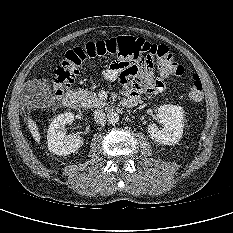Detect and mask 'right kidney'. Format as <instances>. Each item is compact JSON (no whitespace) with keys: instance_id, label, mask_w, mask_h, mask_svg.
Segmentation results:
<instances>
[{"instance_id":"obj_1","label":"right kidney","mask_w":233,"mask_h":233,"mask_svg":"<svg viewBox=\"0 0 233 233\" xmlns=\"http://www.w3.org/2000/svg\"><path fill=\"white\" fill-rule=\"evenodd\" d=\"M74 114L65 112L58 115L49 125L47 131L48 149L56 155H69L76 152L84 143L81 136L74 134L66 136L64 127L68 123H72Z\"/></svg>"}]
</instances>
